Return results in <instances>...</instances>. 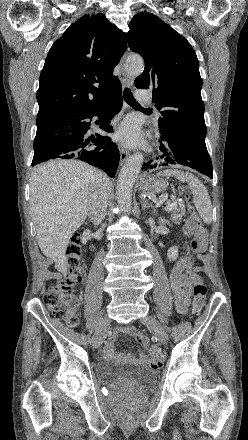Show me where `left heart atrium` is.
<instances>
[{"instance_id": "left-heart-atrium-1", "label": "left heart atrium", "mask_w": 248, "mask_h": 440, "mask_svg": "<svg viewBox=\"0 0 248 440\" xmlns=\"http://www.w3.org/2000/svg\"><path fill=\"white\" fill-rule=\"evenodd\" d=\"M115 138L128 147H136L143 142L139 126L132 118H128L121 123L115 133Z\"/></svg>"}]
</instances>
